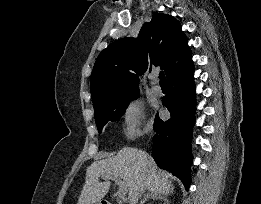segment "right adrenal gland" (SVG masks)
<instances>
[{"instance_id": "right-adrenal-gland-1", "label": "right adrenal gland", "mask_w": 261, "mask_h": 204, "mask_svg": "<svg viewBox=\"0 0 261 204\" xmlns=\"http://www.w3.org/2000/svg\"><path fill=\"white\" fill-rule=\"evenodd\" d=\"M148 199L160 200V201H164V202L167 201L166 197H164L162 195H156V194H153V193H147L146 195H144L143 199L140 201V204H144Z\"/></svg>"}]
</instances>
